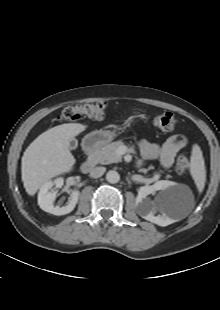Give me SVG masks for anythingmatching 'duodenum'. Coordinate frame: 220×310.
<instances>
[{"label": "duodenum", "mask_w": 220, "mask_h": 310, "mask_svg": "<svg viewBox=\"0 0 220 310\" xmlns=\"http://www.w3.org/2000/svg\"><path fill=\"white\" fill-rule=\"evenodd\" d=\"M85 152L88 158L81 164V171L85 174L90 173L96 165V151L97 147L92 143H85Z\"/></svg>", "instance_id": "obj_1"}]
</instances>
